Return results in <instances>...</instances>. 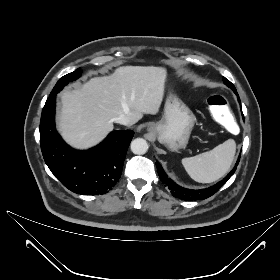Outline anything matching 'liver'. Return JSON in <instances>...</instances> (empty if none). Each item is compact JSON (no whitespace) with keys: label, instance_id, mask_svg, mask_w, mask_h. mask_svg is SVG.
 <instances>
[{"label":"liver","instance_id":"obj_1","mask_svg":"<svg viewBox=\"0 0 280 280\" xmlns=\"http://www.w3.org/2000/svg\"><path fill=\"white\" fill-rule=\"evenodd\" d=\"M165 83V69L154 66H123L110 76L91 78L62 93L58 129L74 148L93 147L113 130L115 117L124 114L133 125L143 114H157Z\"/></svg>","mask_w":280,"mask_h":280}]
</instances>
